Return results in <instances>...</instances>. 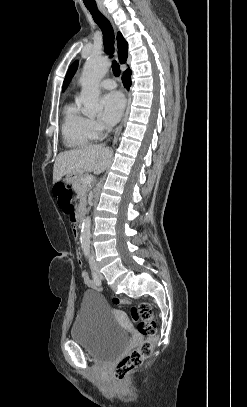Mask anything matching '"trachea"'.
<instances>
[{"instance_id": "obj_1", "label": "trachea", "mask_w": 247, "mask_h": 407, "mask_svg": "<svg viewBox=\"0 0 247 407\" xmlns=\"http://www.w3.org/2000/svg\"><path fill=\"white\" fill-rule=\"evenodd\" d=\"M86 8L91 13L95 23L102 30L104 49L112 58L114 53V30L110 21L100 12L97 6H86ZM112 71L116 77L120 75V67L115 60L112 61Z\"/></svg>"}]
</instances>
